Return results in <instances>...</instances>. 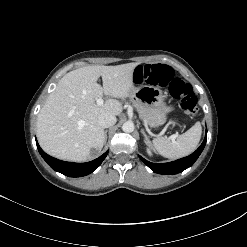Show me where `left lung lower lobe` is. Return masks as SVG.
Instances as JSON below:
<instances>
[{
    "instance_id": "left-lung-lower-lobe-1",
    "label": "left lung lower lobe",
    "mask_w": 247,
    "mask_h": 247,
    "mask_svg": "<svg viewBox=\"0 0 247 247\" xmlns=\"http://www.w3.org/2000/svg\"><path fill=\"white\" fill-rule=\"evenodd\" d=\"M206 138H207V131L205 135V139L200 145V147L193 152L191 155L178 159L173 162L169 163H151L147 160H145L143 157L140 156V159L154 172L158 174H177L185 169L189 168L194 164V162L197 160L201 152L203 151L205 144H206Z\"/></svg>"
}]
</instances>
